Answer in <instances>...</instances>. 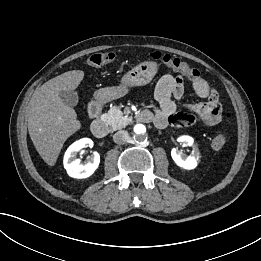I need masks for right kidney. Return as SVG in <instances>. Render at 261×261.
Returning a JSON list of instances; mask_svg holds the SVG:
<instances>
[{
  "instance_id": "right-kidney-1",
  "label": "right kidney",
  "mask_w": 261,
  "mask_h": 261,
  "mask_svg": "<svg viewBox=\"0 0 261 261\" xmlns=\"http://www.w3.org/2000/svg\"><path fill=\"white\" fill-rule=\"evenodd\" d=\"M93 142L89 138H83L68 147L65 152L63 164L69 176L73 178H87L98 168L100 155L95 152L91 159L85 163L77 158L78 152L85 147L92 146Z\"/></svg>"
}]
</instances>
